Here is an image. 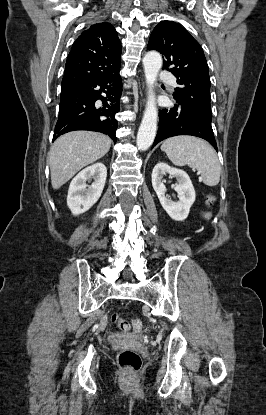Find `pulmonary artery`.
<instances>
[{
    "label": "pulmonary artery",
    "mask_w": 266,
    "mask_h": 415,
    "mask_svg": "<svg viewBox=\"0 0 266 415\" xmlns=\"http://www.w3.org/2000/svg\"><path fill=\"white\" fill-rule=\"evenodd\" d=\"M160 79L170 85H175V78L168 72H161Z\"/></svg>",
    "instance_id": "pulmonary-artery-1"
}]
</instances>
